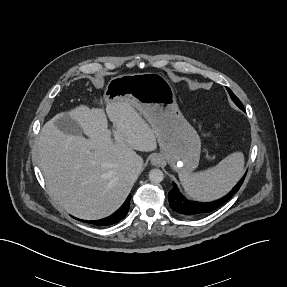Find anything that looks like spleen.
<instances>
[{"instance_id": "1", "label": "spleen", "mask_w": 287, "mask_h": 287, "mask_svg": "<svg viewBox=\"0 0 287 287\" xmlns=\"http://www.w3.org/2000/svg\"><path fill=\"white\" fill-rule=\"evenodd\" d=\"M244 173V155L234 152L216 166L197 173H180L185 192L197 201H213L227 194Z\"/></svg>"}]
</instances>
